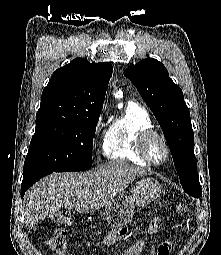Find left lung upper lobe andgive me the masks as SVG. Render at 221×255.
<instances>
[{"mask_svg": "<svg viewBox=\"0 0 221 255\" xmlns=\"http://www.w3.org/2000/svg\"><path fill=\"white\" fill-rule=\"evenodd\" d=\"M158 120L170 147L182 188L202 196L194 155V134L183 92L156 59L146 58L124 71Z\"/></svg>", "mask_w": 221, "mask_h": 255, "instance_id": "5c2ea615", "label": "left lung upper lobe"}]
</instances>
